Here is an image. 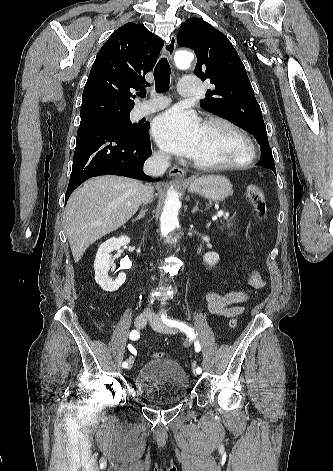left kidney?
I'll return each instance as SVG.
<instances>
[{
	"label": "left kidney",
	"instance_id": "obj_1",
	"mask_svg": "<svg viewBox=\"0 0 333 471\" xmlns=\"http://www.w3.org/2000/svg\"><path fill=\"white\" fill-rule=\"evenodd\" d=\"M203 261L210 267L216 265L219 261V254L216 252H208L203 256Z\"/></svg>",
	"mask_w": 333,
	"mask_h": 471
}]
</instances>
